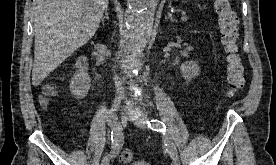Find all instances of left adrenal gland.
Returning a JSON list of instances; mask_svg holds the SVG:
<instances>
[{"instance_id": "a2214340", "label": "left adrenal gland", "mask_w": 276, "mask_h": 165, "mask_svg": "<svg viewBox=\"0 0 276 165\" xmlns=\"http://www.w3.org/2000/svg\"><path fill=\"white\" fill-rule=\"evenodd\" d=\"M166 20L167 19H170L171 21H176L173 17H172V13H168L167 17L165 18Z\"/></svg>"}]
</instances>
